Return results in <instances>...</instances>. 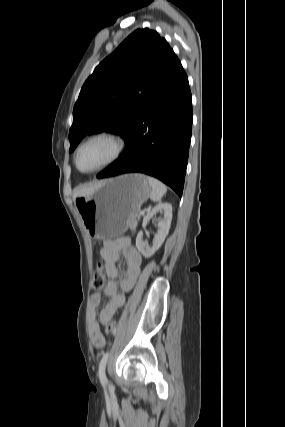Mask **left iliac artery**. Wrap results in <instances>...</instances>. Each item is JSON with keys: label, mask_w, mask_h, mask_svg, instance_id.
I'll return each instance as SVG.
<instances>
[{"label": "left iliac artery", "mask_w": 285, "mask_h": 427, "mask_svg": "<svg viewBox=\"0 0 285 427\" xmlns=\"http://www.w3.org/2000/svg\"><path fill=\"white\" fill-rule=\"evenodd\" d=\"M108 357H109V352H106L103 355V357H102V359L100 361V364H99V379H100V382L103 383V384L107 383V377H106V374H105V367H106V363H107Z\"/></svg>", "instance_id": "44dca946"}]
</instances>
